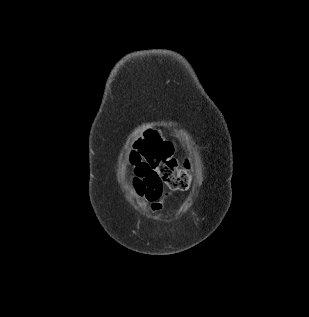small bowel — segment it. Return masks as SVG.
I'll list each match as a JSON object with an SVG mask.
<instances>
[{
	"instance_id": "obj_1",
	"label": "small bowel",
	"mask_w": 309,
	"mask_h": 317,
	"mask_svg": "<svg viewBox=\"0 0 309 317\" xmlns=\"http://www.w3.org/2000/svg\"><path fill=\"white\" fill-rule=\"evenodd\" d=\"M132 187L140 197L145 198L154 212L164 208V202L169 194L162 193V185L151 182L153 173L144 160L133 161Z\"/></svg>"
}]
</instances>
